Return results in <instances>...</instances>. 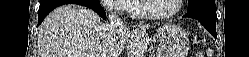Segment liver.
I'll list each match as a JSON object with an SVG mask.
<instances>
[{"label":"liver","mask_w":249,"mask_h":57,"mask_svg":"<svg viewBox=\"0 0 249 57\" xmlns=\"http://www.w3.org/2000/svg\"><path fill=\"white\" fill-rule=\"evenodd\" d=\"M148 25L130 30L111 27L93 10L62 5L53 10L38 30V57H144L149 45Z\"/></svg>","instance_id":"liver-1"}]
</instances>
